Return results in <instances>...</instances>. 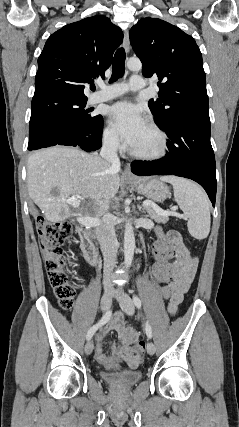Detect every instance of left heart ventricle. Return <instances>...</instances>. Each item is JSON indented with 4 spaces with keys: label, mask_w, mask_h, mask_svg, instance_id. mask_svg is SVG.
Returning <instances> with one entry per match:
<instances>
[{
    "label": "left heart ventricle",
    "mask_w": 239,
    "mask_h": 427,
    "mask_svg": "<svg viewBox=\"0 0 239 427\" xmlns=\"http://www.w3.org/2000/svg\"><path fill=\"white\" fill-rule=\"evenodd\" d=\"M159 144L158 135L147 124L130 147L141 153H153L157 151Z\"/></svg>",
    "instance_id": "obj_1"
}]
</instances>
